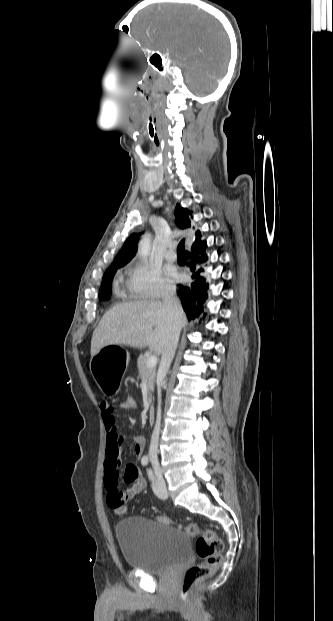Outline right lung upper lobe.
I'll return each mask as SVG.
<instances>
[{
	"label": "right lung upper lobe",
	"instance_id": "obj_1",
	"mask_svg": "<svg viewBox=\"0 0 333 621\" xmlns=\"http://www.w3.org/2000/svg\"><path fill=\"white\" fill-rule=\"evenodd\" d=\"M174 215H175V221L176 224L179 228L181 229H187L191 226L190 223V219H189V215H192V212L189 211L186 208L181 207L179 204L176 205L175 211H174ZM142 233L136 234L133 233L124 243L123 247L121 248V250L119 251V253L116 255L112 266L111 267H116V266H120V265H126L134 256L135 253L137 251V242L139 240V237ZM195 241L193 243L192 246H196V245H205L206 242H202L201 241V234L200 231H197L195 233ZM110 268V267H109Z\"/></svg>",
	"mask_w": 333,
	"mask_h": 621
}]
</instances>
